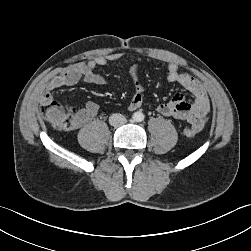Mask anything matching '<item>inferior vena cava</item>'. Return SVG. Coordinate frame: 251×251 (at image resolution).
I'll return each mask as SVG.
<instances>
[{
    "mask_svg": "<svg viewBox=\"0 0 251 251\" xmlns=\"http://www.w3.org/2000/svg\"><path fill=\"white\" fill-rule=\"evenodd\" d=\"M126 121H127L126 118L120 113L112 114L109 117V123H110V125H112L114 127H119V126L125 124Z\"/></svg>",
    "mask_w": 251,
    "mask_h": 251,
    "instance_id": "obj_1",
    "label": "inferior vena cava"
}]
</instances>
